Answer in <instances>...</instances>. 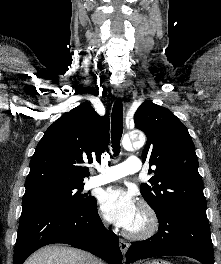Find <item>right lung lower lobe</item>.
<instances>
[{"label": "right lung lower lobe", "instance_id": "right-lung-lower-lobe-1", "mask_svg": "<svg viewBox=\"0 0 221 264\" xmlns=\"http://www.w3.org/2000/svg\"><path fill=\"white\" fill-rule=\"evenodd\" d=\"M118 242V237L103 226L97 212V201L79 211L23 208L14 249V264H23L34 251L54 243H65L86 250L109 264H122Z\"/></svg>", "mask_w": 221, "mask_h": 264}]
</instances>
